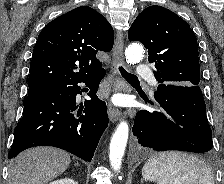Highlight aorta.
<instances>
[{"label": "aorta", "instance_id": "obj_1", "mask_svg": "<svg viewBox=\"0 0 224 184\" xmlns=\"http://www.w3.org/2000/svg\"><path fill=\"white\" fill-rule=\"evenodd\" d=\"M144 56V49L140 44L132 43L125 50V58L128 64L139 63ZM129 135V126L122 121L116 128L110 142V164L115 171L121 167V161L125 152Z\"/></svg>", "mask_w": 224, "mask_h": 184}]
</instances>
